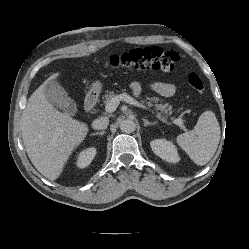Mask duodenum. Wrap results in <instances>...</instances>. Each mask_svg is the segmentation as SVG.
Returning <instances> with one entry per match:
<instances>
[{"label":"duodenum","instance_id":"410a0bca","mask_svg":"<svg viewBox=\"0 0 249 249\" xmlns=\"http://www.w3.org/2000/svg\"><path fill=\"white\" fill-rule=\"evenodd\" d=\"M98 100V93L96 91H90L85 99L84 109L86 113H91L94 110L96 102Z\"/></svg>","mask_w":249,"mask_h":249}]
</instances>
